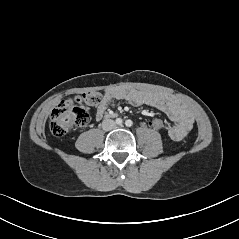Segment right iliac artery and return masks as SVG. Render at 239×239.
<instances>
[{
	"mask_svg": "<svg viewBox=\"0 0 239 239\" xmlns=\"http://www.w3.org/2000/svg\"><path fill=\"white\" fill-rule=\"evenodd\" d=\"M116 123H117L118 125H122L123 121H122L121 118H117V119H116Z\"/></svg>",
	"mask_w": 239,
	"mask_h": 239,
	"instance_id": "right-iliac-artery-1",
	"label": "right iliac artery"
}]
</instances>
